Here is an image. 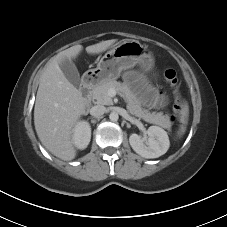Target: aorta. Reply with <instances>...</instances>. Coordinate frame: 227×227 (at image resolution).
<instances>
[{
    "label": "aorta",
    "instance_id": "762f6f07",
    "mask_svg": "<svg viewBox=\"0 0 227 227\" xmlns=\"http://www.w3.org/2000/svg\"><path fill=\"white\" fill-rule=\"evenodd\" d=\"M109 118H110L111 121L116 122L119 118L118 113L111 112L110 115H109Z\"/></svg>",
    "mask_w": 227,
    "mask_h": 227
}]
</instances>
